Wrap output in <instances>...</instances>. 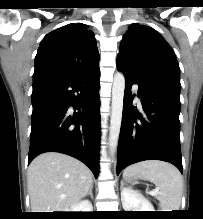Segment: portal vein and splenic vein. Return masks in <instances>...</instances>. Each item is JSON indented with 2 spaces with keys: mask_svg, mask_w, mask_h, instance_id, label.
Returning <instances> with one entry per match:
<instances>
[{
  "mask_svg": "<svg viewBox=\"0 0 203 219\" xmlns=\"http://www.w3.org/2000/svg\"><path fill=\"white\" fill-rule=\"evenodd\" d=\"M157 193H158V190H154V191L151 192L150 194L153 195V196H155V195H157Z\"/></svg>",
  "mask_w": 203,
  "mask_h": 219,
  "instance_id": "obj_1",
  "label": "portal vein and splenic vein"
}]
</instances>
